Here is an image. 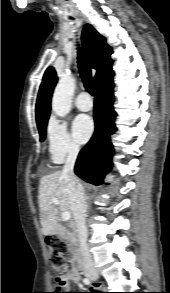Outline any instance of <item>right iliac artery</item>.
<instances>
[{"instance_id": "right-iliac-artery-1", "label": "right iliac artery", "mask_w": 170, "mask_h": 293, "mask_svg": "<svg viewBox=\"0 0 170 293\" xmlns=\"http://www.w3.org/2000/svg\"><path fill=\"white\" fill-rule=\"evenodd\" d=\"M83 282H84L86 285H88V284L91 283V281H90L88 278H84V279H83Z\"/></svg>"}]
</instances>
